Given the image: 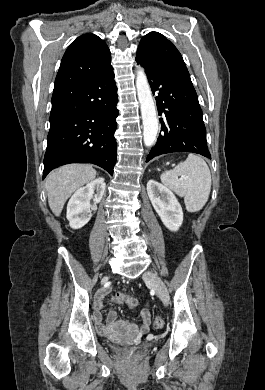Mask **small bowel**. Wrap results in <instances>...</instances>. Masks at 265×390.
<instances>
[{"mask_svg":"<svg viewBox=\"0 0 265 390\" xmlns=\"http://www.w3.org/2000/svg\"><path fill=\"white\" fill-rule=\"evenodd\" d=\"M101 309H102V303H101V299L99 298L95 302V318H96V321L98 323V326L101 329H104V326L101 323V319H102ZM139 316H140V318L142 320V325L139 327V331H140V333H146L148 331L150 323H151V317H150L149 309L147 307L141 308L140 311H139ZM116 319H117L116 313L111 311L108 314V321L110 323H115Z\"/></svg>","mask_w":265,"mask_h":390,"instance_id":"small-bowel-1","label":"small bowel"}]
</instances>
